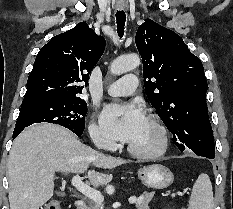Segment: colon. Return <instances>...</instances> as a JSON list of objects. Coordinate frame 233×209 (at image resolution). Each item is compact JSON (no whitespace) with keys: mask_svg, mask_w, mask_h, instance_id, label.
<instances>
[{"mask_svg":"<svg viewBox=\"0 0 233 209\" xmlns=\"http://www.w3.org/2000/svg\"><path fill=\"white\" fill-rule=\"evenodd\" d=\"M41 209H61L60 202L51 200L41 207Z\"/></svg>","mask_w":233,"mask_h":209,"instance_id":"1","label":"colon"}]
</instances>
